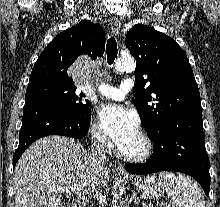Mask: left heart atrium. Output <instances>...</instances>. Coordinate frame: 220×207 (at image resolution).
Wrapping results in <instances>:
<instances>
[{
    "label": "left heart atrium",
    "instance_id": "39dd6f15",
    "mask_svg": "<svg viewBox=\"0 0 220 207\" xmlns=\"http://www.w3.org/2000/svg\"><path fill=\"white\" fill-rule=\"evenodd\" d=\"M100 126L120 147L138 134L136 115L120 105H106L99 111Z\"/></svg>",
    "mask_w": 220,
    "mask_h": 207
}]
</instances>
